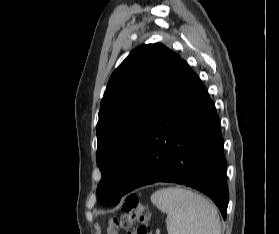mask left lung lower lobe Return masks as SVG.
<instances>
[{
    "label": "left lung lower lobe",
    "mask_w": 279,
    "mask_h": 234,
    "mask_svg": "<svg viewBox=\"0 0 279 234\" xmlns=\"http://www.w3.org/2000/svg\"><path fill=\"white\" fill-rule=\"evenodd\" d=\"M223 137L215 105L181 60L153 115L122 195L158 181L208 195L226 219L229 192Z\"/></svg>",
    "instance_id": "left-lung-lower-lobe-1"
}]
</instances>
